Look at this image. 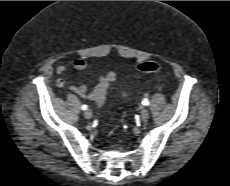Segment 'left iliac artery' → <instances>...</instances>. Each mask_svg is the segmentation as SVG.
Wrapping results in <instances>:
<instances>
[{"label": "left iliac artery", "instance_id": "44dca946", "mask_svg": "<svg viewBox=\"0 0 230 186\" xmlns=\"http://www.w3.org/2000/svg\"><path fill=\"white\" fill-rule=\"evenodd\" d=\"M144 105L148 106L150 104L149 100L148 99H144L143 102H142Z\"/></svg>", "mask_w": 230, "mask_h": 186}]
</instances>
